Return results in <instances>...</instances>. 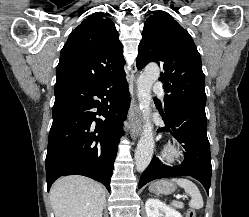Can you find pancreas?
Here are the masks:
<instances>
[{"instance_id": "obj_1", "label": "pancreas", "mask_w": 249, "mask_h": 217, "mask_svg": "<svg viewBox=\"0 0 249 217\" xmlns=\"http://www.w3.org/2000/svg\"><path fill=\"white\" fill-rule=\"evenodd\" d=\"M172 205L178 209H182L184 207V204L182 202H173Z\"/></svg>"}]
</instances>
